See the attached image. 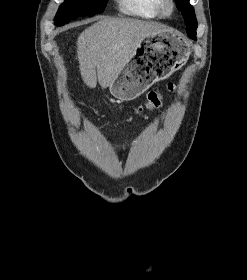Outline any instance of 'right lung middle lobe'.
Segmentation results:
<instances>
[{
  "label": "right lung middle lobe",
  "mask_w": 247,
  "mask_h": 280,
  "mask_svg": "<svg viewBox=\"0 0 247 280\" xmlns=\"http://www.w3.org/2000/svg\"><path fill=\"white\" fill-rule=\"evenodd\" d=\"M107 0H66L55 17L56 25H64L80 16H94L102 13Z\"/></svg>",
  "instance_id": "right-lung-middle-lobe-1"
}]
</instances>
